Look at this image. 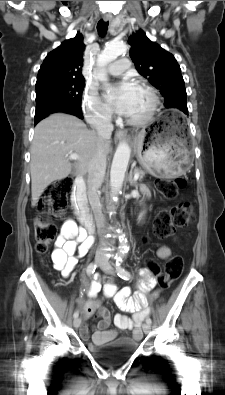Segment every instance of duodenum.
<instances>
[{
  "label": "duodenum",
  "instance_id": "obj_1",
  "mask_svg": "<svg viewBox=\"0 0 225 395\" xmlns=\"http://www.w3.org/2000/svg\"><path fill=\"white\" fill-rule=\"evenodd\" d=\"M71 201L80 223L89 234H92L94 232V223L86 203V184L82 176H78L75 179Z\"/></svg>",
  "mask_w": 225,
  "mask_h": 395
}]
</instances>
